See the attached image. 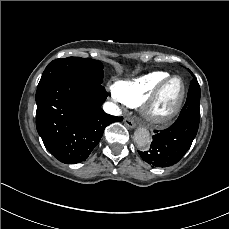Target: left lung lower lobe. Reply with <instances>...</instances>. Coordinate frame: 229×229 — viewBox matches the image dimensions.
Returning a JSON list of instances; mask_svg holds the SVG:
<instances>
[{"instance_id": "obj_1", "label": "left lung lower lobe", "mask_w": 229, "mask_h": 229, "mask_svg": "<svg viewBox=\"0 0 229 229\" xmlns=\"http://www.w3.org/2000/svg\"><path fill=\"white\" fill-rule=\"evenodd\" d=\"M190 83L186 103L175 123L165 130L155 131L150 149L138 151L141 158L152 167L176 164L190 148L200 121V86L194 76Z\"/></svg>"}]
</instances>
